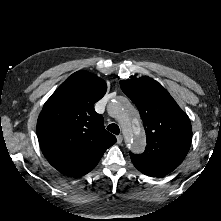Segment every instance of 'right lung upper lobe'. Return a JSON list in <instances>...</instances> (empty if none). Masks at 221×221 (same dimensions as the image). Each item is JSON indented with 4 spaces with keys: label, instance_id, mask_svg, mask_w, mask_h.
I'll use <instances>...</instances> for the list:
<instances>
[{
    "label": "right lung upper lobe",
    "instance_id": "right-lung-upper-lobe-1",
    "mask_svg": "<svg viewBox=\"0 0 221 221\" xmlns=\"http://www.w3.org/2000/svg\"><path fill=\"white\" fill-rule=\"evenodd\" d=\"M105 81L77 71L44 104L37 122L41 150L53 167L96 153L116 143L93 105L106 93Z\"/></svg>",
    "mask_w": 221,
    "mask_h": 221
}]
</instances>
